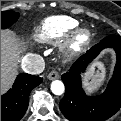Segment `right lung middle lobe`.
Returning a JSON list of instances; mask_svg holds the SVG:
<instances>
[{"label":"right lung middle lobe","instance_id":"right-lung-middle-lobe-1","mask_svg":"<svg viewBox=\"0 0 121 121\" xmlns=\"http://www.w3.org/2000/svg\"><path fill=\"white\" fill-rule=\"evenodd\" d=\"M19 18V13L13 11L1 12V29H5L14 24Z\"/></svg>","mask_w":121,"mask_h":121}]
</instances>
